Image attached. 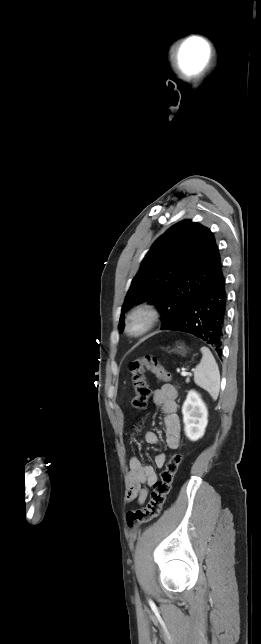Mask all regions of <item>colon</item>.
<instances>
[{
  "label": "colon",
  "instance_id": "1",
  "mask_svg": "<svg viewBox=\"0 0 261 644\" xmlns=\"http://www.w3.org/2000/svg\"><path fill=\"white\" fill-rule=\"evenodd\" d=\"M130 372L134 384L135 395L132 405L136 409H143L151 395V389L146 379V372L155 374L162 381L171 380V373L161 364L156 356L148 355L130 363ZM182 460V454L176 452L171 455L159 480L153 485L150 500L144 509L129 511L127 522L134 527L150 522L160 516L166 499L171 491L175 475Z\"/></svg>",
  "mask_w": 261,
  "mask_h": 644
}]
</instances>
